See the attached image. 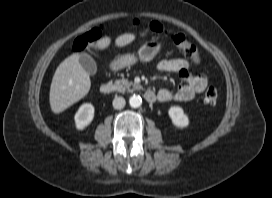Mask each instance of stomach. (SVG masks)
<instances>
[{
	"label": "stomach",
	"mask_w": 272,
	"mask_h": 198,
	"mask_svg": "<svg viewBox=\"0 0 272 198\" xmlns=\"http://www.w3.org/2000/svg\"><path fill=\"white\" fill-rule=\"evenodd\" d=\"M161 46V43L157 40L147 41L139 48L137 55L131 53L124 54L114 60L110 67L112 70L117 71L136 64L138 60L150 62L159 53Z\"/></svg>",
	"instance_id": "1"
}]
</instances>
